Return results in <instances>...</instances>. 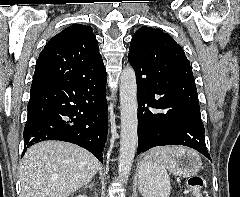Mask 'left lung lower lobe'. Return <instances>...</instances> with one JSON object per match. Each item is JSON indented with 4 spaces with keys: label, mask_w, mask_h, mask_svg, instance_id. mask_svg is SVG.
Segmentation results:
<instances>
[{
    "label": "left lung lower lobe",
    "mask_w": 240,
    "mask_h": 197,
    "mask_svg": "<svg viewBox=\"0 0 240 197\" xmlns=\"http://www.w3.org/2000/svg\"><path fill=\"white\" fill-rule=\"evenodd\" d=\"M138 154L160 145H185L209 160L195 83H170L136 72Z\"/></svg>",
    "instance_id": "0a47b994"
}]
</instances>
